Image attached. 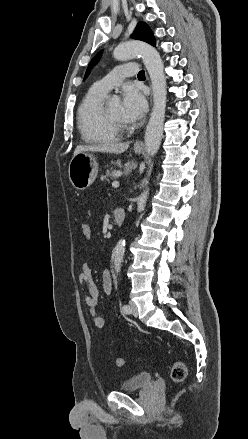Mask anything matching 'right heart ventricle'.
<instances>
[{"instance_id":"e07e8e85","label":"right heart ventricle","mask_w":248,"mask_h":439,"mask_svg":"<svg viewBox=\"0 0 248 439\" xmlns=\"http://www.w3.org/2000/svg\"><path fill=\"white\" fill-rule=\"evenodd\" d=\"M105 94L90 88L77 110V125L85 142L91 144L113 143L120 139V133L111 130L102 118Z\"/></svg>"}]
</instances>
